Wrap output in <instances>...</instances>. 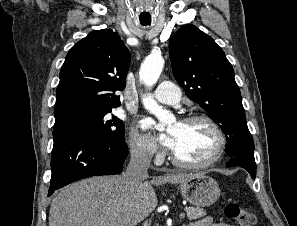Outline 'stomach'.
Segmentation results:
<instances>
[{"instance_id": "stomach-1", "label": "stomach", "mask_w": 297, "mask_h": 226, "mask_svg": "<svg viewBox=\"0 0 297 226\" xmlns=\"http://www.w3.org/2000/svg\"><path fill=\"white\" fill-rule=\"evenodd\" d=\"M181 195L199 207L212 205L220 196L218 183L205 173L193 174L179 185Z\"/></svg>"}]
</instances>
